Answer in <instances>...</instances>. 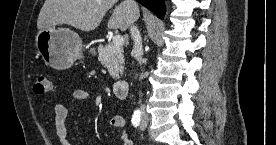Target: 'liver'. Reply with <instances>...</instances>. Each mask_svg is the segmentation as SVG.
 I'll list each match as a JSON object with an SVG mask.
<instances>
[{"label":"liver","instance_id":"1","mask_svg":"<svg viewBox=\"0 0 276 145\" xmlns=\"http://www.w3.org/2000/svg\"><path fill=\"white\" fill-rule=\"evenodd\" d=\"M117 0H45L38 20V30L55 28L56 25L67 24L82 31L95 30L106 12ZM139 17L136 11L121 2L115 7L108 21L109 29L125 31Z\"/></svg>","mask_w":276,"mask_h":145}]
</instances>
